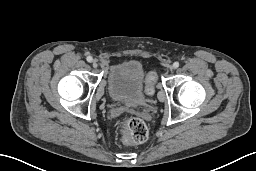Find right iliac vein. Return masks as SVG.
Segmentation results:
<instances>
[{
    "label": "right iliac vein",
    "instance_id": "obj_1",
    "mask_svg": "<svg viewBox=\"0 0 256 171\" xmlns=\"http://www.w3.org/2000/svg\"><path fill=\"white\" fill-rule=\"evenodd\" d=\"M92 66H93L94 68H97L98 64H97V61H96V60H94V61L92 62Z\"/></svg>",
    "mask_w": 256,
    "mask_h": 171
}]
</instances>
